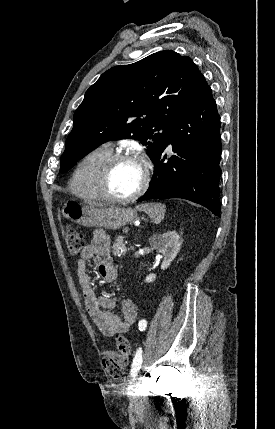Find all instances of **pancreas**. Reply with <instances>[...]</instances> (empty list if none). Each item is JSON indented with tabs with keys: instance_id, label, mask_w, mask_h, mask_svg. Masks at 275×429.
I'll return each instance as SVG.
<instances>
[{
	"instance_id": "1",
	"label": "pancreas",
	"mask_w": 275,
	"mask_h": 429,
	"mask_svg": "<svg viewBox=\"0 0 275 429\" xmlns=\"http://www.w3.org/2000/svg\"><path fill=\"white\" fill-rule=\"evenodd\" d=\"M113 254L115 256H121V255H125L126 254V247L125 244L123 242V237L122 236H118L113 244Z\"/></svg>"
}]
</instances>
